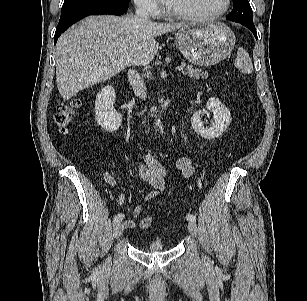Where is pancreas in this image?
Returning a JSON list of instances; mask_svg holds the SVG:
<instances>
[{"instance_id": "1", "label": "pancreas", "mask_w": 307, "mask_h": 301, "mask_svg": "<svg viewBox=\"0 0 307 301\" xmlns=\"http://www.w3.org/2000/svg\"><path fill=\"white\" fill-rule=\"evenodd\" d=\"M182 73L184 75H188L190 78H194V79H197V80L200 79V77H202V78L208 77V72H203L201 69L193 68L190 65L186 66L185 70Z\"/></svg>"}]
</instances>
